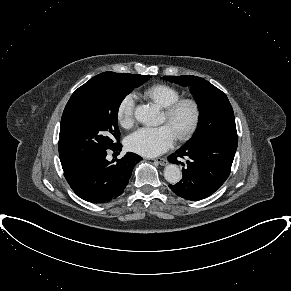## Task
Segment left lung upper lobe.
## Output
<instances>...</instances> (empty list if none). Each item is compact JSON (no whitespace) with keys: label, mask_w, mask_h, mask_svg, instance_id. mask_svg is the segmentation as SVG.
Listing matches in <instances>:
<instances>
[{"label":"left lung upper lobe","mask_w":291,"mask_h":291,"mask_svg":"<svg viewBox=\"0 0 291 291\" xmlns=\"http://www.w3.org/2000/svg\"><path fill=\"white\" fill-rule=\"evenodd\" d=\"M163 79L189 86L199 104V126L187 145H195L218 135L237 136L232 106L221 90L203 78L192 75L165 76Z\"/></svg>","instance_id":"obj_1"}]
</instances>
